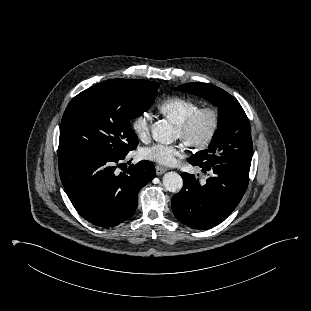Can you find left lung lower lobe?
I'll return each mask as SVG.
<instances>
[{"label": "left lung lower lobe", "mask_w": 311, "mask_h": 311, "mask_svg": "<svg viewBox=\"0 0 311 311\" xmlns=\"http://www.w3.org/2000/svg\"><path fill=\"white\" fill-rule=\"evenodd\" d=\"M197 166L212 176L202 185L194 175L182 173L183 188L172 197L171 205L180 222L201 230L221 223L232 213L248 186L250 167L238 164Z\"/></svg>", "instance_id": "left-lung-lower-lobe-1"}]
</instances>
